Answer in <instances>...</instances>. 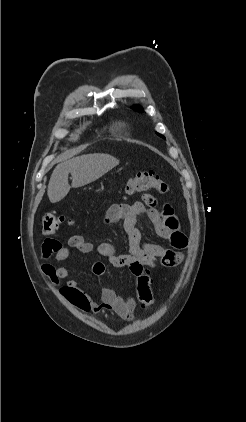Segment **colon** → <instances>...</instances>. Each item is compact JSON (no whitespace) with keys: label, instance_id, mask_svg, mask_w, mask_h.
<instances>
[{"label":"colon","instance_id":"obj_1","mask_svg":"<svg viewBox=\"0 0 246 422\" xmlns=\"http://www.w3.org/2000/svg\"><path fill=\"white\" fill-rule=\"evenodd\" d=\"M147 190H155L160 194H166L170 191V186L152 171L136 173L128 180L125 186V191L128 194ZM63 221V217L57 216L54 213H48L42 219V231L45 234H54ZM183 258L184 255L181 251L170 249L156 263L146 264L138 268L136 275L138 280L137 299L143 309H150L154 303L153 294L150 289L148 267H152L155 264H161L164 267H174L180 264Z\"/></svg>","mask_w":246,"mask_h":422}]
</instances>
